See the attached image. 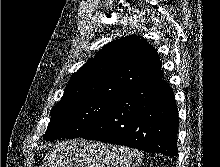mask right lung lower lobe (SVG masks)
Instances as JSON below:
<instances>
[{
  "mask_svg": "<svg viewBox=\"0 0 220 167\" xmlns=\"http://www.w3.org/2000/svg\"><path fill=\"white\" fill-rule=\"evenodd\" d=\"M178 112L172 89L159 79L116 96L101 120L83 136L161 153L176 160Z\"/></svg>",
  "mask_w": 220,
  "mask_h": 167,
  "instance_id": "1",
  "label": "right lung lower lobe"
}]
</instances>
